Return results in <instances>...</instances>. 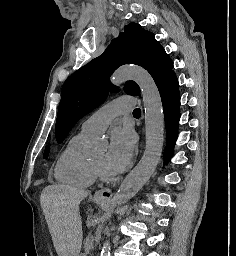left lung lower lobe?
<instances>
[{
  "label": "left lung lower lobe",
  "mask_w": 236,
  "mask_h": 256,
  "mask_svg": "<svg viewBox=\"0 0 236 256\" xmlns=\"http://www.w3.org/2000/svg\"><path fill=\"white\" fill-rule=\"evenodd\" d=\"M157 87L160 92L166 126V148H165V163L172 156L173 147L177 138L178 123L180 118V96L178 90V80L172 70L165 75L158 83Z\"/></svg>",
  "instance_id": "0a47b994"
}]
</instances>
